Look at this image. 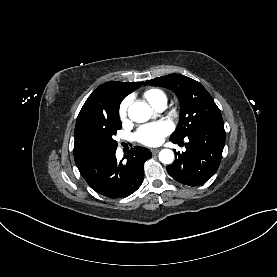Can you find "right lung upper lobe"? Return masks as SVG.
<instances>
[{
	"mask_svg": "<svg viewBox=\"0 0 277 277\" xmlns=\"http://www.w3.org/2000/svg\"><path fill=\"white\" fill-rule=\"evenodd\" d=\"M143 82L109 81L100 85L88 97L77 117L74 132V159L77 166L94 157L81 140L83 127L96 119H108L119 114V105L123 98L141 87Z\"/></svg>",
	"mask_w": 277,
	"mask_h": 277,
	"instance_id": "obj_1",
	"label": "right lung upper lobe"
}]
</instances>
